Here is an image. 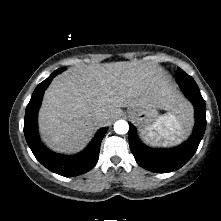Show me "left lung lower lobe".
<instances>
[{
  "instance_id": "0a47b994",
  "label": "left lung lower lobe",
  "mask_w": 221,
  "mask_h": 221,
  "mask_svg": "<svg viewBox=\"0 0 221 221\" xmlns=\"http://www.w3.org/2000/svg\"><path fill=\"white\" fill-rule=\"evenodd\" d=\"M186 97L195 107V127L191 137L178 147L152 149L138 139L135 127L129 123V144L136 162L155 173L175 171L186 164L196 152L206 128L205 101L197 85H180Z\"/></svg>"
}]
</instances>
